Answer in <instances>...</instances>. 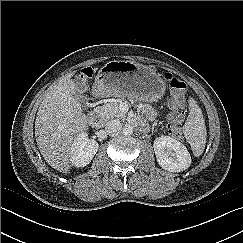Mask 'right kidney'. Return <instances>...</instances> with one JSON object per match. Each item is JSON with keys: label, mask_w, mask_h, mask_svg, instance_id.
I'll return each mask as SVG.
<instances>
[{"label": "right kidney", "mask_w": 243, "mask_h": 243, "mask_svg": "<svg viewBox=\"0 0 243 243\" xmlns=\"http://www.w3.org/2000/svg\"><path fill=\"white\" fill-rule=\"evenodd\" d=\"M98 143L89 139L86 132L76 135L70 151V162L75 167H84L88 165L98 151Z\"/></svg>", "instance_id": "ca27d5eb"}]
</instances>
